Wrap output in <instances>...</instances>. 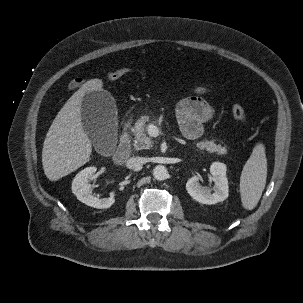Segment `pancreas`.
Returning a JSON list of instances; mask_svg holds the SVG:
<instances>
[{"label":"pancreas","instance_id":"pancreas-1","mask_svg":"<svg viewBox=\"0 0 303 303\" xmlns=\"http://www.w3.org/2000/svg\"><path fill=\"white\" fill-rule=\"evenodd\" d=\"M147 123H151L149 116H141L135 123L133 129L134 135V148L136 150L150 149L153 147L152 139L147 135ZM196 147L202 151L209 153H217L218 155H226L227 149L220 144H216L212 140H205L196 143Z\"/></svg>","mask_w":303,"mask_h":303}]
</instances>
